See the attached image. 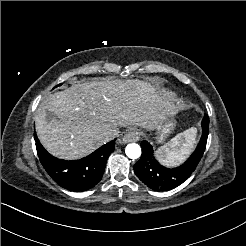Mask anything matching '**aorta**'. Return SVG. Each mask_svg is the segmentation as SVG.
<instances>
[{
  "instance_id": "762f6f07",
  "label": "aorta",
  "mask_w": 246,
  "mask_h": 246,
  "mask_svg": "<svg viewBox=\"0 0 246 246\" xmlns=\"http://www.w3.org/2000/svg\"><path fill=\"white\" fill-rule=\"evenodd\" d=\"M126 155L131 159H137L141 156V147L136 143H130L125 148Z\"/></svg>"
}]
</instances>
